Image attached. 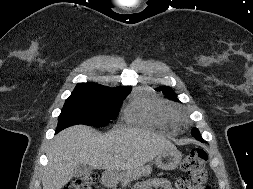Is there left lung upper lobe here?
<instances>
[{
  "instance_id": "1",
  "label": "left lung upper lobe",
  "mask_w": 253,
  "mask_h": 189,
  "mask_svg": "<svg viewBox=\"0 0 253 189\" xmlns=\"http://www.w3.org/2000/svg\"><path fill=\"white\" fill-rule=\"evenodd\" d=\"M156 90H163V93L166 94L169 98L177 100V97L175 95V93L168 87H161V88H157ZM192 134H200L198 129L195 128L192 130Z\"/></svg>"
}]
</instances>
